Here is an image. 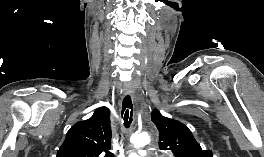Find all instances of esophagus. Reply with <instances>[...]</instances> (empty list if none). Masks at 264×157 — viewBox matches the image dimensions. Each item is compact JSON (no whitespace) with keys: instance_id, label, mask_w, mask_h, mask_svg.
Returning a JSON list of instances; mask_svg holds the SVG:
<instances>
[{"instance_id":"obj_1","label":"esophagus","mask_w":264,"mask_h":157,"mask_svg":"<svg viewBox=\"0 0 264 157\" xmlns=\"http://www.w3.org/2000/svg\"><path fill=\"white\" fill-rule=\"evenodd\" d=\"M125 94L126 95H129L130 94V91L128 89L125 90Z\"/></svg>"}]
</instances>
